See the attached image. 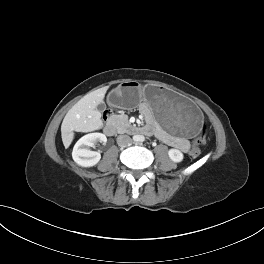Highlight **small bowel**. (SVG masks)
Masks as SVG:
<instances>
[{
    "mask_svg": "<svg viewBox=\"0 0 264 264\" xmlns=\"http://www.w3.org/2000/svg\"><path fill=\"white\" fill-rule=\"evenodd\" d=\"M156 134L161 140L165 141L169 145L177 147L183 151L188 150V143L186 140L171 137L170 135H168L165 131L161 129H156Z\"/></svg>",
    "mask_w": 264,
    "mask_h": 264,
    "instance_id": "c3829d8e",
    "label": "small bowel"
}]
</instances>
